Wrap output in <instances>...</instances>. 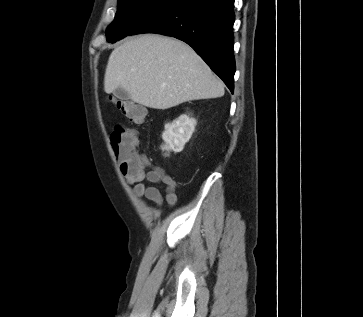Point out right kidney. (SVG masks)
Wrapping results in <instances>:
<instances>
[{
  "label": "right kidney",
  "instance_id": "1",
  "mask_svg": "<svg viewBox=\"0 0 363 317\" xmlns=\"http://www.w3.org/2000/svg\"><path fill=\"white\" fill-rule=\"evenodd\" d=\"M195 125L196 120L185 114L179 116L172 123L165 124V131L162 134L165 144L161 146V149L168 152H181L191 138Z\"/></svg>",
  "mask_w": 363,
  "mask_h": 317
}]
</instances>
